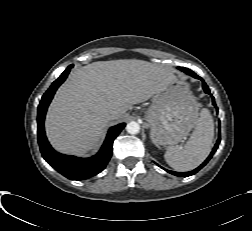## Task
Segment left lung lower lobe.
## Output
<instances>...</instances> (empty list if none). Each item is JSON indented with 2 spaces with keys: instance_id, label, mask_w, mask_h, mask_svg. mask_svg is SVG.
I'll return each instance as SVG.
<instances>
[{
  "instance_id": "0a47b994",
  "label": "left lung lower lobe",
  "mask_w": 252,
  "mask_h": 231,
  "mask_svg": "<svg viewBox=\"0 0 252 231\" xmlns=\"http://www.w3.org/2000/svg\"><path fill=\"white\" fill-rule=\"evenodd\" d=\"M178 68H179L181 71L185 72L186 74H189V75H191V76L194 77V78H197V79L202 80V78H200L199 76H197V75H196L193 71H191L190 69L183 68V67H178ZM202 83H203V89H204V91H205L206 93L210 94L209 88H208V86L206 85V83H205L203 80H202ZM212 103H213L214 106H216L215 101H214V97H212ZM220 140H221V138H220V136H219V137H218V140H217V142H216V144H215V146H214L212 152H211L210 155L208 156V158H207L198 168L194 169L193 171H191V172H186V173L174 172V171H168V170H166V171L169 172V173H171V174H173V175H176V176H184V177H187V176H190V175L195 174V173H196L197 171H199L203 166H205V165L208 163V161L211 159V157L213 156V154L215 153V151H216L217 148H218V145H219V143H220Z\"/></svg>"
}]
</instances>
